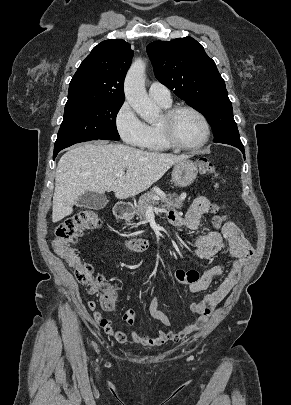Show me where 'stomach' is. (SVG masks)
Listing matches in <instances>:
<instances>
[{"label":"stomach","mask_w":291,"mask_h":405,"mask_svg":"<svg viewBox=\"0 0 291 405\" xmlns=\"http://www.w3.org/2000/svg\"><path fill=\"white\" fill-rule=\"evenodd\" d=\"M197 173L198 169L196 164L185 159L174 165L172 170V181L176 186L185 188L194 182ZM122 217L129 220L132 218V213L124 214Z\"/></svg>","instance_id":"obj_1"}]
</instances>
